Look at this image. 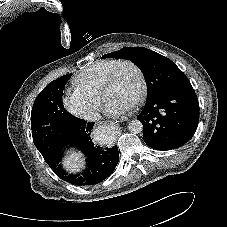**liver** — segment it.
<instances>
[{
    "label": "liver",
    "mask_w": 227,
    "mask_h": 227,
    "mask_svg": "<svg viewBox=\"0 0 227 227\" xmlns=\"http://www.w3.org/2000/svg\"><path fill=\"white\" fill-rule=\"evenodd\" d=\"M64 166L70 172L80 171V168L83 166L80 155L73 153L64 160Z\"/></svg>",
    "instance_id": "obj_1"
}]
</instances>
